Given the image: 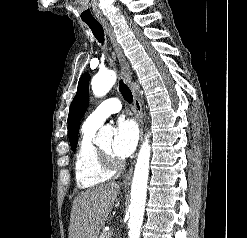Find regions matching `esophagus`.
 <instances>
[{
  "instance_id": "1",
  "label": "esophagus",
  "mask_w": 247,
  "mask_h": 238,
  "mask_svg": "<svg viewBox=\"0 0 247 238\" xmlns=\"http://www.w3.org/2000/svg\"><path fill=\"white\" fill-rule=\"evenodd\" d=\"M102 24L104 25L108 36L110 38V41L112 43L113 49H114V55L116 56V58L118 59L119 65L121 67V71L124 77V81L125 83L131 88L132 93H133V97H134V112H135V117L137 120V123L139 125V129H140V140H142V136H143V113H142V106H141V102L135 92V90L132 88V74L130 71V67L129 64L124 56V53L120 47V45L118 44L117 40H116V36L112 30V27L110 26V24L105 21L102 20L101 21ZM133 168H134V163L132 164V166L129 168L127 174L125 175L122 184L124 186H129L132 180V175H133Z\"/></svg>"
}]
</instances>
